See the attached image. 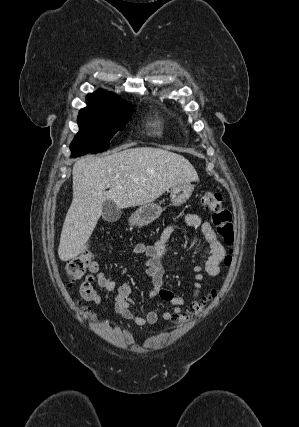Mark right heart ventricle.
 Returning <instances> with one entry per match:
<instances>
[{"label":"right heart ventricle","instance_id":"right-heart-ventricle-1","mask_svg":"<svg viewBox=\"0 0 299 427\" xmlns=\"http://www.w3.org/2000/svg\"><path fill=\"white\" fill-rule=\"evenodd\" d=\"M166 128L167 126L164 119L160 116H156L150 124V134L163 137L166 133Z\"/></svg>","mask_w":299,"mask_h":427}]
</instances>
